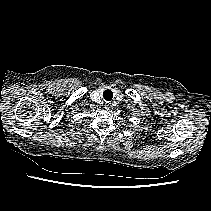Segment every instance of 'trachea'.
<instances>
[{
  "mask_svg": "<svg viewBox=\"0 0 211 211\" xmlns=\"http://www.w3.org/2000/svg\"><path fill=\"white\" fill-rule=\"evenodd\" d=\"M103 97H104L105 100L111 101L112 98H113V93H112V91H111V90H105V91L103 92Z\"/></svg>",
  "mask_w": 211,
  "mask_h": 211,
  "instance_id": "3493384b",
  "label": "trachea"
}]
</instances>
